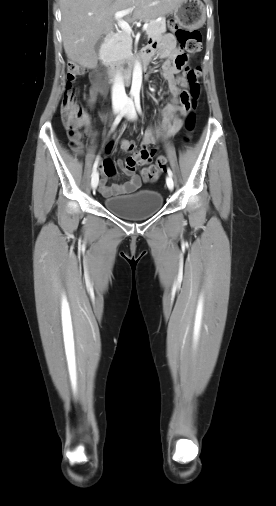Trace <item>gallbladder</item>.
Returning <instances> with one entry per match:
<instances>
[{
  "mask_svg": "<svg viewBox=\"0 0 276 506\" xmlns=\"http://www.w3.org/2000/svg\"><path fill=\"white\" fill-rule=\"evenodd\" d=\"M103 40H104V38H103V37H101V38L97 41V43H96V45H95V50H96L97 52L99 51V49H100V47H101V45H102V43H103Z\"/></svg>",
  "mask_w": 276,
  "mask_h": 506,
  "instance_id": "bac80fb5",
  "label": "gallbladder"
}]
</instances>
